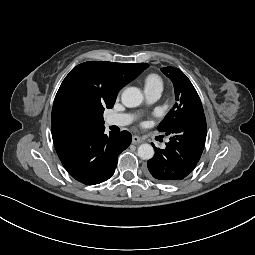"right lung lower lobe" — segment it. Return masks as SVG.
<instances>
[{
    "mask_svg": "<svg viewBox=\"0 0 255 255\" xmlns=\"http://www.w3.org/2000/svg\"><path fill=\"white\" fill-rule=\"evenodd\" d=\"M105 127L54 141L55 149L67 172L77 181L95 185L115 172L119 154L132 141L128 131L104 133Z\"/></svg>",
    "mask_w": 255,
    "mask_h": 255,
    "instance_id": "1",
    "label": "right lung lower lobe"
}]
</instances>
